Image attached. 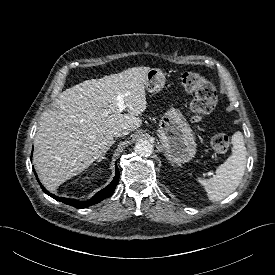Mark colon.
<instances>
[{"label":"colon","mask_w":275,"mask_h":275,"mask_svg":"<svg viewBox=\"0 0 275 275\" xmlns=\"http://www.w3.org/2000/svg\"><path fill=\"white\" fill-rule=\"evenodd\" d=\"M181 82L187 91L193 93V98L190 103V109L193 114L192 119L194 122H199L215 107V89L211 83L195 72L183 73ZM211 144L215 152L225 153L230 145L229 137L225 134H217L213 136Z\"/></svg>","instance_id":"1"}]
</instances>
